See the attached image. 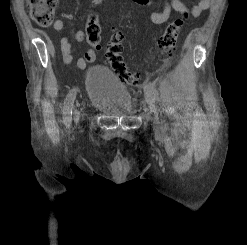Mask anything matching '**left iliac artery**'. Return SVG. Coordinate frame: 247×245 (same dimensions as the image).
Instances as JSON below:
<instances>
[{
    "mask_svg": "<svg viewBox=\"0 0 247 245\" xmlns=\"http://www.w3.org/2000/svg\"><path fill=\"white\" fill-rule=\"evenodd\" d=\"M144 91L147 95L151 96L153 99L158 100V92L152 83H146L144 85Z\"/></svg>",
    "mask_w": 247,
    "mask_h": 245,
    "instance_id": "obj_1",
    "label": "left iliac artery"
}]
</instances>
